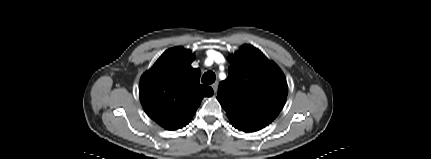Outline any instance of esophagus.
Listing matches in <instances>:
<instances>
[{
	"label": "esophagus",
	"mask_w": 431,
	"mask_h": 159,
	"mask_svg": "<svg viewBox=\"0 0 431 159\" xmlns=\"http://www.w3.org/2000/svg\"><path fill=\"white\" fill-rule=\"evenodd\" d=\"M212 88H213L214 93H217V90H218V82L213 83V84H212Z\"/></svg>",
	"instance_id": "esophagus-1"
}]
</instances>
